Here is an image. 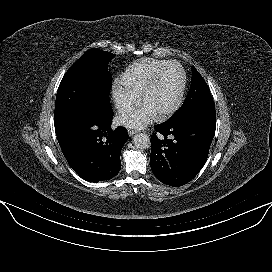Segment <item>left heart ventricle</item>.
<instances>
[{"label": "left heart ventricle", "instance_id": "left-heart-ventricle-1", "mask_svg": "<svg viewBox=\"0 0 272 272\" xmlns=\"http://www.w3.org/2000/svg\"><path fill=\"white\" fill-rule=\"evenodd\" d=\"M182 74L178 67H169L162 75L158 85L146 97L148 105L157 115L170 108L176 101L181 86Z\"/></svg>", "mask_w": 272, "mask_h": 272}]
</instances>
